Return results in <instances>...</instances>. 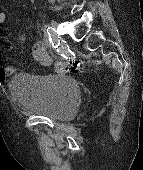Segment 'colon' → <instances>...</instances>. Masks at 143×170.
Listing matches in <instances>:
<instances>
[{"label":"colon","mask_w":143,"mask_h":170,"mask_svg":"<svg viewBox=\"0 0 143 170\" xmlns=\"http://www.w3.org/2000/svg\"><path fill=\"white\" fill-rule=\"evenodd\" d=\"M67 69V64L65 63H60L58 65V70H65ZM72 70L73 71H79V64H75L73 67H72Z\"/></svg>","instance_id":"5ec220e1"}]
</instances>
